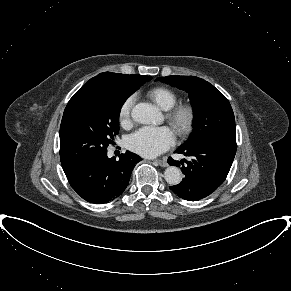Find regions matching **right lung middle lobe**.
Returning <instances> with one entry per match:
<instances>
[{
    "instance_id": "obj_1",
    "label": "right lung middle lobe",
    "mask_w": 291,
    "mask_h": 291,
    "mask_svg": "<svg viewBox=\"0 0 291 291\" xmlns=\"http://www.w3.org/2000/svg\"><path fill=\"white\" fill-rule=\"evenodd\" d=\"M134 92L119 85L96 83L80 89L70 99L60 126L64 172L107 151L119 132L121 107Z\"/></svg>"
}]
</instances>
